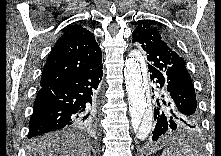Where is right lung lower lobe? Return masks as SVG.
<instances>
[{
	"instance_id": "1",
	"label": "right lung lower lobe",
	"mask_w": 221,
	"mask_h": 156,
	"mask_svg": "<svg viewBox=\"0 0 221 156\" xmlns=\"http://www.w3.org/2000/svg\"><path fill=\"white\" fill-rule=\"evenodd\" d=\"M103 65L51 87L40 88L29 122L28 138L72 127H94L101 100Z\"/></svg>"
}]
</instances>
